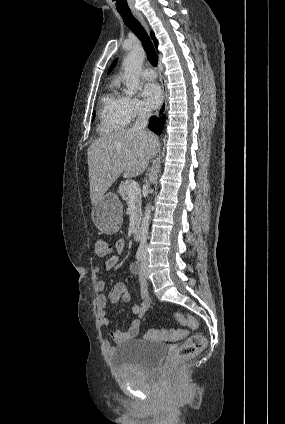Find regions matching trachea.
Returning <instances> with one entry per match:
<instances>
[{"label":"trachea","instance_id":"1","mask_svg":"<svg viewBox=\"0 0 285 424\" xmlns=\"http://www.w3.org/2000/svg\"><path fill=\"white\" fill-rule=\"evenodd\" d=\"M126 26L141 40L147 53L148 60L153 66H157L158 57L154 46L142 25L134 18L131 11H118Z\"/></svg>","mask_w":285,"mask_h":424}]
</instances>
